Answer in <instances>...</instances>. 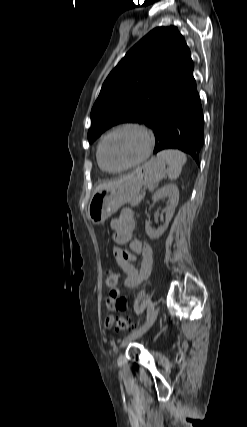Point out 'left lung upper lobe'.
I'll list each match as a JSON object with an SVG mask.
<instances>
[{
	"label": "left lung upper lobe",
	"instance_id": "left-lung-upper-lobe-1",
	"mask_svg": "<svg viewBox=\"0 0 247 427\" xmlns=\"http://www.w3.org/2000/svg\"><path fill=\"white\" fill-rule=\"evenodd\" d=\"M194 64L176 27H157L111 71L91 111L90 143L123 122L151 127L166 100L190 83Z\"/></svg>",
	"mask_w": 247,
	"mask_h": 427
}]
</instances>
